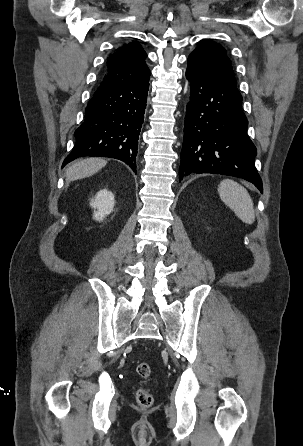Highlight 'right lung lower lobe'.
Returning a JSON list of instances; mask_svg holds the SVG:
<instances>
[{
  "mask_svg": "<svg viewBox=\"0 0 303 446\" xmlns=\"http://www.w3.org/2000/svg\"><path fill=\"white\" fill-rule=\"evenodd\" d=\"M149 76L94 93L85 120L75 131V146L62 166L78 157L102 156L119 159L136 172Z\"/></svg>",
  "mask_w": 303,
  "mask_h": 446,
  "instance_id": "98d812e1",
  "label": "right lung lower lobe"
}]
</instances>
